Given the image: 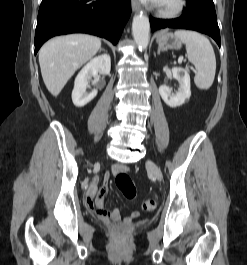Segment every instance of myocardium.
Returning a JSON list of instances; mask_svg holds the SVG:
<instances>
[{"label": "myocardium", "mask_w": 247, "mask_h": 265, "mask_svg": "<svg viewBox=\"0 0 247 265\" xmlns=\"http://www.w3.org/2000/svg\"><path fill=\"white\" fill-rule=\"evenodd\" d=\"M187 5V0H161L157 5L158 14L163 18H176L184 13Z\"/></svg>", "instance_id": "1"}]
</instances>
